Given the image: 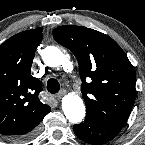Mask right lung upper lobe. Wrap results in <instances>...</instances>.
I'll use <instances>...</instances> for the list:
<instances>
[{
	"label": "right lung upper lobe",
	"mask_w": 145,
	"mask_h": 145,
	"mask_svg": "<svg viewBox=\"0 0 145 145\" xmlns=\"http://www.w3.org/2000/svg\"><path fill=\"white\" fill-rule=\"evenodd\" d=\"M42 31L40 27L20 32L0 46V135L22 134L51 110L38 98L42 83L30 75Z\"/></svg>",
	"instance_id": "cb5924a9"
}]
</instances>
